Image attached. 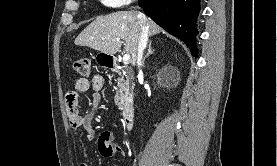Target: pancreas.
<instances>
[{
	"label": "pancreas",
	"mask_w": 277,
	"mask_h": 166,
	"mask_svg": "<svg viewBox=\"0 0 277 166\" xmlns=\"http://www.w3.org/2000/svg\"><path fill=\"white\" fill-rule=\"evenodd\" d=\"M125 77L126 80L123 78L117 80V86L119 89L116 91L114 101L119 107L123 105L124 101H128L132 98L133 86H131V80L126 73Z\"/></svg>",
	"instance_id": "obj_1"
}]
</instances>
